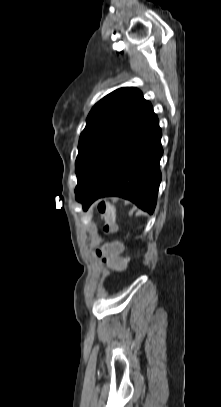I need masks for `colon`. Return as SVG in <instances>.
I'll list each match as a JSON object with an SVG mask.
<instances>
[{
    "label": "colon",
    "instance_id": "1",
    "mask_svg": "<svg viewBox=\"0 0 221 407\" xmlns=\"http://www.w3.org/2000/svg\"><path fill=\"white\" fill-rule=\"evenodd\" d=\"M99 212L103 215L105 220L104 232L113 233L116 231L115 223V209L106 202H101L98 205ZM124 249V244L117 239L108 240L104 242L102 248L96 251V255L106 264L113 268H120L123 274L129 271V268L125 265L128 263L129 258L127 255H119ZM118 255V256H117Z\"/></svg>",
    "mask_w": 221,
    "mask_h": 407
}]
</instances>
